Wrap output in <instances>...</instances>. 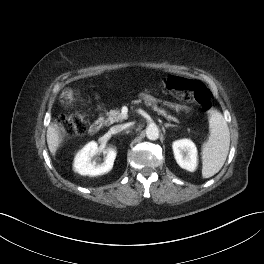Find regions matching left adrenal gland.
Listing matches in <instances>:
<instances>
[{
	"label": "left adrenal gland",
	"instance_id": "1",
	"mask_svg": "<svg viewBox=\"0 0 264 264\" xmlns=\"http://www.w3.org/2000/svg\"><path fill=\"white\" fill-rule=\"evenodd\" d=\"M165 127L166 128H168V127H176V125L167 123V124H165Z\"/></svg>",
	"mask_w": 264,
	"mask_h": 264
}]
</instances>
